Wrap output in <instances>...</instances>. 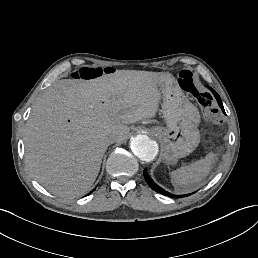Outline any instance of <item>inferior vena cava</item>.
Segmentation results:
<instances>
[{
    "instance_id": "inferior-vena-cava-1",
    "label": "inferior vena cava",
    "mask_w": 258,
    "mask_h": 258,
    "mask_svg": "<svg viewBox=\"0 0 258 258\" xmlns=\"http://www.w3.org/2000/svg\"><path fill=\"white\" fill-rule=\"evenodd\" d=\"M117 141V135L116 134H108L104 138V142L107 145L113 144Z\"/></svg>"
}]
</instances>
